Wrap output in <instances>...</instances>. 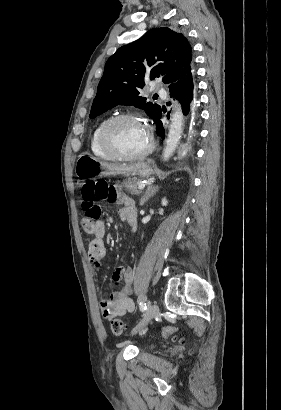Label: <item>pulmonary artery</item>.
<instances>
[{"instance_id":"obj_1","label":"pulmonary artery","mask_w":281,"mask_h":410,"mask_svg":"<svg viewBox=\"0 0 281 410\" xmlns=\"http://www.w3.org/2000/svg\"><path fill=\"white\" fill-rule=\"evenodd\" d=\"M155 90H156L158 93H160V94H163V93H164V89L162 88V86L157 85V86L155 87Z\"/></svg>"}]
</instances>
